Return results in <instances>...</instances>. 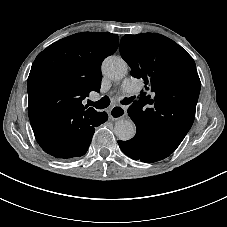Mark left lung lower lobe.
<instances>
[{
    "label": "left lung lower lobe",
    "mask_w": 227,
    "mask_h": 227,
    "mask_svg": "<svg viewBox=\"0 0 227 227\" xmlns=\"http://www.w3.org/2000/svg\"><path fill=\"white\" fill-rule=\"evenodd\" d=\"M121 150L134 160L151 163L168 157L175 149L156 142L150 135L138 130L136 135L128 141H118Z\"/></svg>",
    "instance_id": "1"
}]
</instances>
